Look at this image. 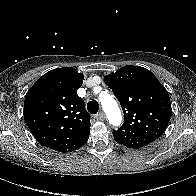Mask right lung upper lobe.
Listing matches in <instances>:
<instances>
[{
	"instance_id": "cb5924a9",
	"label": "right lung upper lobe",
	"mask_w": 196,
	"mask_h": 196,
	"mask_svg": "<svg viewBox=\"0 0 196 196\" xmlns=\"http://www.w3.org/2000/svg\"><path fill=\"white\" fill-rule=\"evenodd\" d=\"M83 79L72 67L57 68L44 74L27 92L25 122L42 146L70 152L87 142L90 116L77 95Z\"/></svg>"
}]
</instances>
